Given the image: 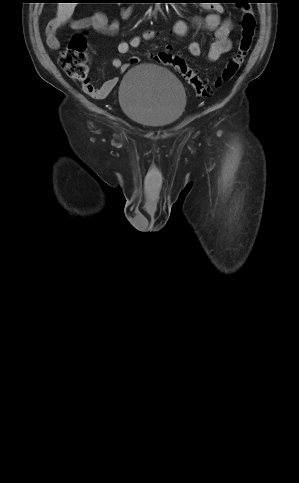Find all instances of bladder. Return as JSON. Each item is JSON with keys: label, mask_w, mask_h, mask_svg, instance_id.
Masks as SVG:
<instances>
[{"label": "bladder", "mask_w": 299, "mask_h": 483, "mask_svg": "<svg viewBox=\"0 0 299 483\" xmlns=\"http://www.w3.org/2000/svg\"><path fill=\"white\" fill-rule=\"evenodd\" d=\"M119 104L132 120L152 128L176 123L187 106L181 81L170 71L143 63L130 68L119 85Z\"/></svg>", "instance_id": "31cf9c89"}]
</instances>
